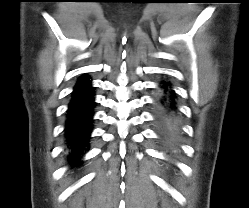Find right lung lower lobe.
<instances>
[{"label":"right lung lower lobe","instance_id":"right-lung-lower-lobe-1","mask_svg":"<svg viewBox=\"0 0 249 208\" xmlns=\"http://www.w3.org/2000/svg\"><path fill=\"white\" fill-rule=\"evenodd\" d=\"M91 80L83 76L74 87L72 99L67 110L65 125L66 145L69 152L68 160L72 166L81 164L80 155L88 142L92 131L93 108L95 106Z\"/></svg>","mask_w":249,"mask_h":208}]
</instances>
